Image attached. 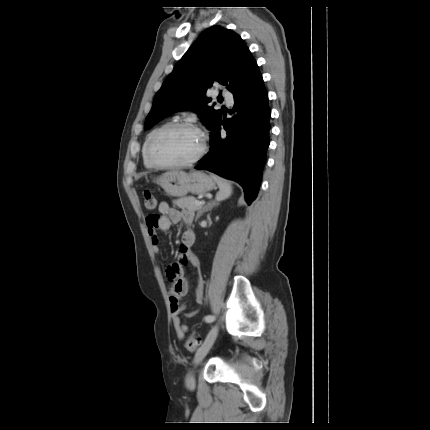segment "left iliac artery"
Returning a JSON list of instances; mask_svg holds the SVG:
<instances>
[{
    "label": "left iliac artery",
    "instance_id": "left-iliac-artery-1",
    "mask_svg": "<svg viewBox=\"0 0 430 430\" xmlns=\"http://www.w3.org/2000/svg\"><path fill=\"white\" fill-rule=\"evenodd\" d=\"M204 319L206 322L211 323L215 320V316L214 315H207Z\"/></svg>",
    "mask_w": 430,
    "mask_h": 430
}]
</instances>
